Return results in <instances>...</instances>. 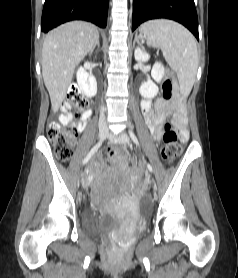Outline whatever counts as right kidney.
<instances>
[{"label": "right kidney", "instance_id": "ca27d5eb", "mask_svg": "<svg viewBox=\"0 0 238 278\" xmlns=\"http://www.w3.org/2000/svg\"><path fill=\"white\" fill-rule=\"evenodd\" d=\"M77 83L81 91L89 98L97 93V82L93 75H90L83 67L77 70Z\"/></svg>", "mask_w": 238, "mask_h": 278}]
</instances>
